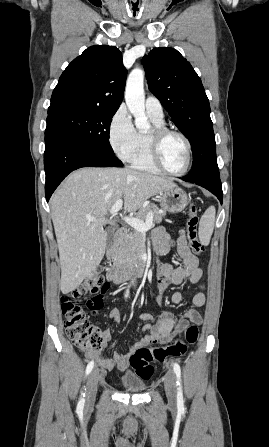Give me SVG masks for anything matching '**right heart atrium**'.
Wrapping results in <instances>:
<instances>
[{"mask_svg":"<svg viewBox=\"0 0 269 447\" xmlns=\"http://www.w3.org/2000/svg\"><path fill=\"white\" fill-rule=\"evenodd\" d=\"M136 129L131 114L124 106L113 114L108 126V142L116 155L126 161L135 147Z\"/></svg>","mask_w":269,"mask_h":447,"instance_id":"obj_1","label":"right heart atrium"}]
</instances>
